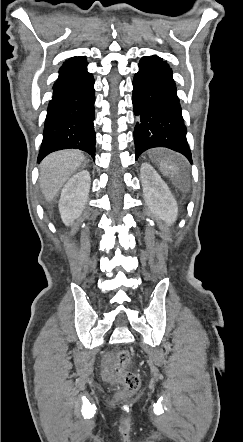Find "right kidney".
<instances>
[{"instance_id":"obj_1","label":"right kidney","mask_w":243,"mask_h":442,"mask_svg":"<svg viewBox=\"0 0 243 442\" xmlns=\"http://www.w3.org/2000/svg\"><path fill=\"white\" fill-rule=\"evenodd\" d=\"M89 190L90 174L87 170L76 173L65 184L58 205L64 224H72L81 215L88 200Z\"/></svg>"}]
</instances>
